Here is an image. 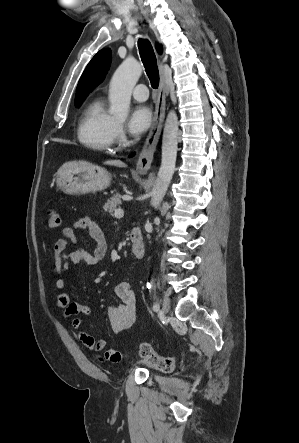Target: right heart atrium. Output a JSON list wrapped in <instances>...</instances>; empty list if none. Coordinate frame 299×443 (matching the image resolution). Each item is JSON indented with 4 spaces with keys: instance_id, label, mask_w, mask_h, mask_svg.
Here are the masks:
<instances>
[{
    "instance_id": "1",
    "label": "right heart atrium",
    "mask_w": 299,
    "mask_h": 443,
    "mask_svg": "<svg viewBox=\"0 0 299 443\" xmlns=\"http://www.w3.org/2000/svg\"><path fill=\"white\" fill-rule=\"evenodd\" d=\"M123 136V127L120 124L115 126V138H121Z\"/></svg>"
}]
</instances>
